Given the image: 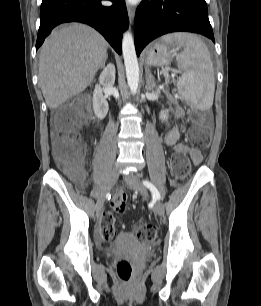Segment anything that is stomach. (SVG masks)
I'll return each instance as SVG.
<instances>
[{
  "instance_id": "1",
  "label": "stomach",
  "mask_w": 261,
  "mask_h": 306,
  "mask_svg": "<svg viewBox=\"0 0 261 306\" xmlns=\"http://www.w3.org/2000/svg\"><path fill=\"white\" fill-rule=\"evenodd\" d=\"M176 47L172 43L157 41L145 52V62L149 66L163 67L168 65L173 57Z\"/></svg>"
}]
</instances>
